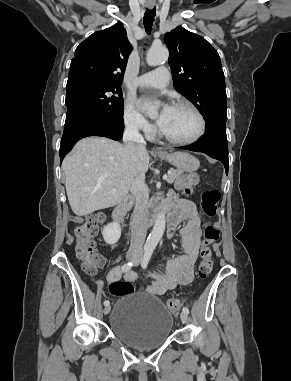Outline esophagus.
Wrapping results in <instances>:
<instances>
[{
	"instance_id": "1",
	"label": "esophagus",
	"mask_w": 291,
	"mask_h": 381,
	"mask_svg": "<svg viewBox=\"0 0 291 381\" xmlns=\"http://www.w3.org/2000/svg\"><path fill=\"white\" fill-rule=\"evenodd\" d=\"M147 6L150 8V9H152L153 7H154V3H152V2H148L147 3ZM155 151H157V152H159V150H157V149H154Z\"/></svg>"
}]
</instances>
